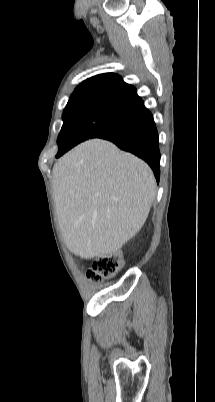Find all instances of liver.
I'll use <instances>...</instances> for the list:
<instances>
[{"label":"liver","mask_w":215,"mask_h":402,"mask_svg":"<svg viewBox=\"0 0 215 402\" xmlns=\"http://www.w3.org/2000/svg\"><path fill=\"white\" fill-rule=\"evenodd\" d=\"M52 172L61 234L84 259L116 253L142 228L156 196L150 167L102 139L79 144Z\"/></svg>","instance_id":"obj_1"}]
</instances>
